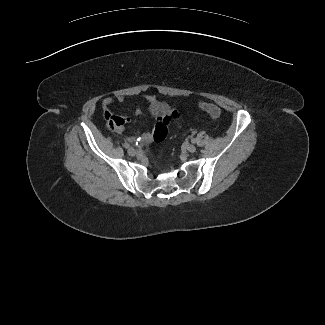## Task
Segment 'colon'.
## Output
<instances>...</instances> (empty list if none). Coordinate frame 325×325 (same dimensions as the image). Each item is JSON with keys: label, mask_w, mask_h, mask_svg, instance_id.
<instances>
[{"label": "colon", "mask_w": 325, "mask_h": 325, "mask_svg": "<svg viewBox=\"0 0 325 325\" xmlns=\"http://www.w3.org/2000/svg\"><path fill=\"white\" fill-rule=\"evenodd\" d=\"M197 105L200 109L206 111L211 117L213 118L220 117V110L216 105L208 102H203V101L198 102Z\"/></svg>", "instance_id": "1"}]
</instances>
